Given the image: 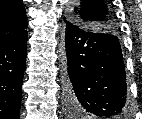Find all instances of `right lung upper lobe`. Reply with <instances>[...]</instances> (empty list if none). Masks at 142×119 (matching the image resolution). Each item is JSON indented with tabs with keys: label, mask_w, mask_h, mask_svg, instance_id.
Returning a JSON list of instances; mask_svg holds the SVG:
<instances>
[{
	"label": "right lung upper lobe",
	"mask_w": 142,
	"mask_h": 119,
	"mask_svg": "<svg viewBox=\"0 0 142 119\" xmlns=\"http://www.w3.org/2000/svg\"><path fill=\"white\" fill-rule=\"evenodd\" d=\"M27 29L22 0H0V43L12 40Z\"/></svg>",
	"instance_id": "1"
}]
</instances>
